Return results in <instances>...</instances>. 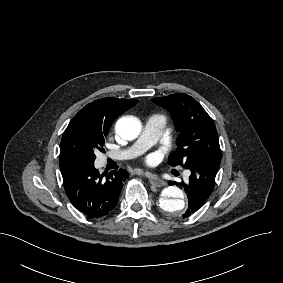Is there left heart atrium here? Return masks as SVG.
Returning a JSON list of instances; mask_svg holds the SVG:
<instances>
[{
    "instance_id": "obj_1",
    "label": "left heart atrium",
    "mask_w": 283,
    "mask_h": 283,
    "mask_svg": "<svg viewBox=\"0 0 283 283\" xmlns=\"http://www.w3.org/2000/svg\"><path fill=\"white\" fill-rule=\"evenodd\" d=\"M155 162V157L153 155H150L146 158V163L149 165H153Z\"/></svg>"
}]
</instances>
